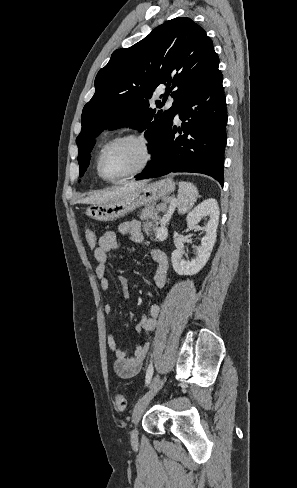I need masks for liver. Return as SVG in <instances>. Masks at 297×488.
I'll return each instance as SVG.
<instances>
[{"label":"liver","instance_id":"1","mask_svg":"<svg viewBox=\"0 0 297 488\" xmlns=\"http://www.w3.org/2000/svg\"><path fill=\"white\" fill-rule=\"evenodd\" d=\"M148 183L147 180L142 181H130L127 182L124 186L115 188L113 190L105 191L102 193H97L91 195L83 200V202L91 203V204H100L105 202H110L117 199L120 195L125 192L134 191Z\"/></svg>","mask_w":297,"mask_h":488}]
</instances>
